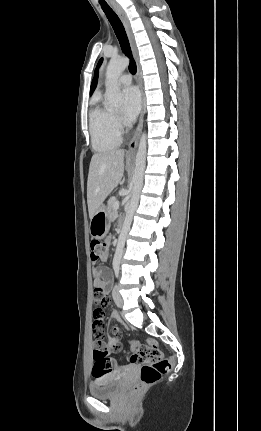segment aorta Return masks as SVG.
<instances>
[{
  "label": "aorta",
  "mask_w": 261,
  "mask_h": 431,
  "mask_svg": "<svg viewBox=\"0 0 261 431\" xmlns=\"http://www.w3.org/2000/svg\"><path fill=\"white\" fill-rule=\"evenodd\" d=\"M129 65L128 58H112L108 64L106 70V98H107V106L110 108H117L122 103V94L119 88L118 79L121 73L126 69ZM146 133L141 135L138 151L136 154V162H135V170L133 174V190L132 197L126 212V217L124 220V224L122 226L121 233L118 238V243L115 251V255L113 258V264L119 265L120 260L122 258V253L125 245V240L127 234L129 232L132 218L134 212L138 206L139 196L143 185V176L146 164V150H147V142H146Z\"/></svg>",
  "instance_id": "1"
}]
</instances>
